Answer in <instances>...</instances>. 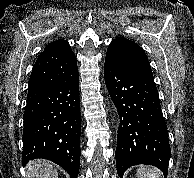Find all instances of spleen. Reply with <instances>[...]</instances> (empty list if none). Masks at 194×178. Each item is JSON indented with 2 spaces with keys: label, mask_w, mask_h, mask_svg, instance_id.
Returning a JSON list of instances; mask_svg holds the SVG:
<instances>
[{
  "label": "spleen",
  "mask_w": 194,
  "mask_h": 178,
  "mask_svg": "<svg viewBox=\"0 0 194 178\" xmlns=\"http://www.w3.org/2000/svg\"><path fill=\"white\" fill-rule=\"evenodd\" d=\"M137 178H164V177L157 168L148 165H142L137 169Z\"/></svg>",
  "instance_id": "spleen-1"
}]
</instances>
